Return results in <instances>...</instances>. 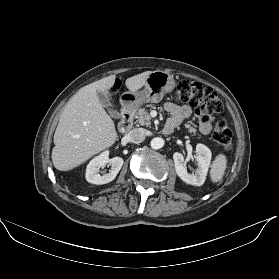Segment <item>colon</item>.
Masks as SVG:
<instances>
[{
    "instance_id": "obj_1",
    "label": "colon",
    "mask_w": 279,
    "mask_h": 279,
    "mask_svg": "<svg viewBox=\"0 0 279 279\" xmlns=\"http://www.w3.org/2000/svg\"><path fill=\"white\" fill-rule=\"evenodd\" d=\"M174 98L187 103L202 121H214L213 139L224 149L232 147V132L226 124L223 105L217 93L199 82L181 81L176 85Z\"/></svg>"
}]
</instances>
